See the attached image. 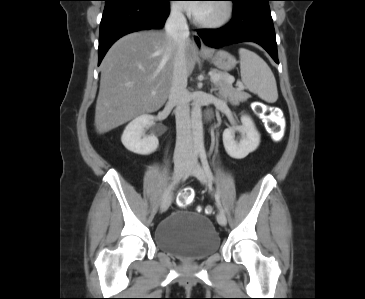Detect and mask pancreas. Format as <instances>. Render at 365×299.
Segmentation results:
<instances>
[{"label":"pancreas","instance_id":"obj_1","mask_svg":"<svg viewBox=\"0 0 365 299\" xmlns=\"http://www.w3.org/2000/svg\"><path fill=\"white\" fill-rule=\"evenodd\" d=\"M212 73L221 77L220 80L216 82V87L220 90V95L224 99H228L232 102H243L249 98L248 93L233 88L231 79L234 78L229 74L217 70H212Z\"/></svg>","mask_w":365,"mask_h":299}]
</instances>
